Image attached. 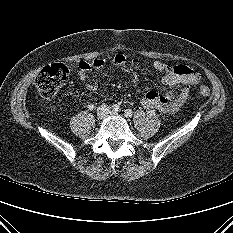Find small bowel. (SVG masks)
I'll return each instance as SVG.
<instances>
[{
  "instance_id": "small-bowel-1",
  "label": "small bowel",
  "mask_w": 233,
  "mask_h": 233,
  "mask_svg": "<svg viewBox=\"0 0 233 233\" xmlns=\"http://www.w3.org/2000/svg\"><path fill=\"white\" fill-rule=\"evenodd\" d=\"M126 61L125 55L116 53L104 58H98L92 62H81L79 64L80 76L82 80L87 82L89 90H95L97 79L89 75L91 69H100L105 65L122 67ZM152 68L163 74L162 81L168 88L181 86L178 94L173 95L168 92L166 95H160L154 91L148 92L141 100L142 106L148 111H160L164 113H173L180 109L186 101L189 93V86L199 81V76L195 73L184 74L177 71L178 68H188L186 66H169L163 62L155 61Z\"/></svg>"
}]
</instances>
